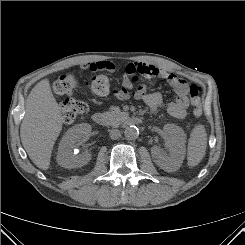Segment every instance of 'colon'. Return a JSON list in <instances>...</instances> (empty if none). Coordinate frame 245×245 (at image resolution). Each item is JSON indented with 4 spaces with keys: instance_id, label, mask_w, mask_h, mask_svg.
<instances>
[{
    "instance_id": "1",
    "label": "colon",
    "mask_w": 245,
    "mask_h": 245,
    "mask_svg": "<svg viewBox=\"0 0 245 245\" xmlns=\"http://www.w3.org/2000/svg\"><path fill=\"white\" fill-rule=\"evenodd\" d=\"M77 86L76 76L72 73L62 74L54 84V90L58 95L66 99L61 104L62 119L70 124L88 111V105L82 100L71 98ZM88 90L95 95H106L112 88L111 80L106 75H97L86 83ZM190 101L193 106V113L196 117L201 116V88L197 84H191Z\"/></svg>"
}]
</instances>
